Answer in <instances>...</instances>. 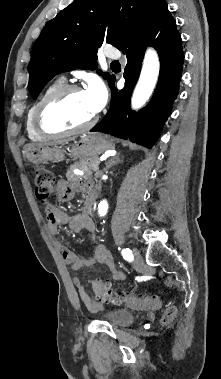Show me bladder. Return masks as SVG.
Returning a JSON list of instances; mask_svg holds the SVG:
<instances>
[{"label": "bladder", "instance_id": "1", "mask_svg": "<svg viewBox=\"0 0 221 379\" xmlns=\"http://www.w3.org/2000/svg\"><path fill=\"white\" fill-rule=\"evenodd\" d=\"M102 318L116 327L129 326L135 320V316L131 312L124 309H114L107 311L102 315Z\"/></svg>", "mask_w": 221, "mask_h": 379}]
</instances>
